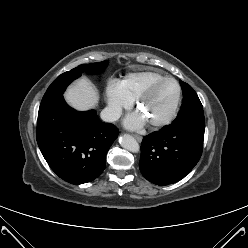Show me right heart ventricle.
Segmentation results:
<instances>
[{"mask_svg":"<svg viewBox=\"0 0 248 248\" xmlns=\"http://www.w3.org/2000/svg\"><path fill=\"white\" fill-rule=\"evenodd\" d=\"M159 72L148 70L129 73L121 81L124 93L131 99H136L150 84L164 78Z\"/></svg>","mask_w":248,"mask_h":248,"instance_id":"obj_1","label":"right heart ventricle"}]
</instances>
